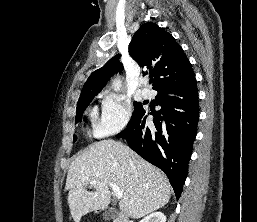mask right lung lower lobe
Masks as SVG:
<instances>
[{
  "mask_svg": "<svg viewBox=\"0 0 257 222\" xmlns=\"http://www.w3.org/2000/svg\"><path fill=\"white\" fill-rule=\"evenodd\" d=\"M154 125L147 123L145 110L116 137L125 138L129 147L169 178L179 199L188 172V162L199 120L198 90L194 74L156 89Z\"/></svg>",
  "mask_w": 257,
  "mask_h": 222,
  "instance_id": "obj_1",
  "label": "right lung lower lobe"
}]
</instances>
